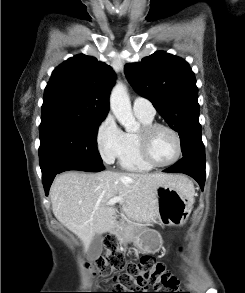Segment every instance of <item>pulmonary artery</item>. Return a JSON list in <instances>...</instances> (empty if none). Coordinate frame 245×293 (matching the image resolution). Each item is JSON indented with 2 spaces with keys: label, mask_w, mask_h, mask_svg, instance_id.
<instances>
[{
  "label": "pulmonary artery",
  "mask_w": 245,
  "mask_h": 293,
  "mask_svg": "<svg viewBox=\"0 0 245 293\" xmlns=\"http://www.w3.org/2000/svg\"><path fill=\"white\" fill-rule=\"evenodd\" d=\"M133 111L135 115L154 117L155 108L152 102L144 97L138 96L133 101Z\"/></svg>",
  "instance_id": "1"
}]
</instances>
